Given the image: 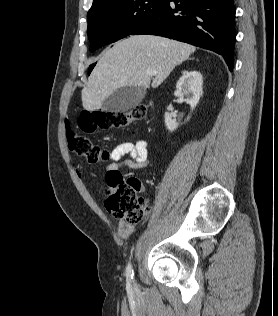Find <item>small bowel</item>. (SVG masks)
Masks as SVG:
<instances>
[{
  "mask_svg": "<svg viewBox=\"0 0 278 316\" xmlns=\"http://www.w3.org/2000/svg\"><path fill=\"white\" fill-rule=\"evenodd\" d=\"M125 156H129L123 159ZM148 142L145 139L137 141H126L120 143L109 152L107 171H118L121 167L139 169L149 164ZM118 235L126 240L132 232L133 226L124 221H120L117 226Z\"/></svg>",
  "mask_w": 278,
  "mask_h": 316,
  "instance_id": "small-bowel-1",
  "label": "small bowel"
}]
</instances>
